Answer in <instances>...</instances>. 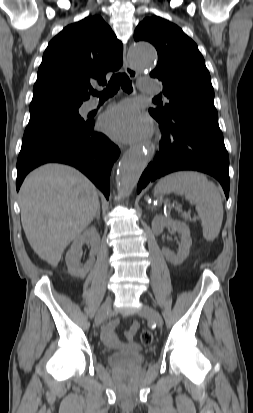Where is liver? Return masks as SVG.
<instances>
[{"label": "liver", "instance_id": "1", "mask_svg": "<svg viewBox=\"0 0 253 413\" xmlns=\"http://www.w3.org/2000/svg\"><path fill=\"white\" fill-rule=\"evenodd\" d=\"M19 203L30 246L56 267L65 248L96 216L99 196L94 184L78 170L45 164L25 178Z\"/></svg>", "mask_w": 253, "mask_h": 413}]
</instances>
